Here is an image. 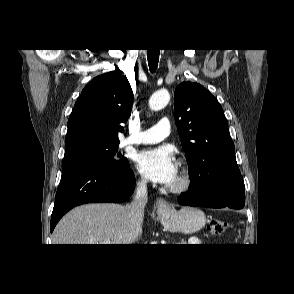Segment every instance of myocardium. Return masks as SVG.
I'll use <instances>...</instances> for the list:
<instances>
[{"mask_svg":"<svg viewBox=\"0 0 294 294\" xmlns=\"http://www.w3.org/2000/svg\"><path fill=\"white\" fill-rule=\"evenodd\" d=\"M192 185V176L189 169L182 166L178 172V182L167 187L172 194H182L190 189Z\"/></svg>","mask_w":294,"mask_h":294,"instance_id":"obj_1","label":"myocardium"}]
</instances>
